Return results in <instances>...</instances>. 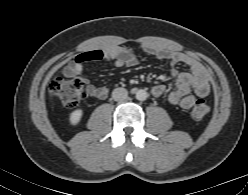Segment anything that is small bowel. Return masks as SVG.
I'll use <instances>...</instances> for the list:
<instances>
[{
    "label": "small bowel",
    "instance_id": "c3829d8e",
    "mask_svg": "<svg viewBox=\"0 0 248 195\" xmlns=\"http://www.w3.org/2000/svg\"><path fill=\"white\" fill-rule=\"evenodd\" d=\"M142 50L159 59L168 60L170 62L171 74L176 77V86L168 96V100L171 104L183 109H190L194 105L196 97L204 98L209 95L210 85L208 76L200 63L178 52L151 44L144 45ZM94 61L111 62L117 67L133 66L136 63V55L132 50L118 46L89 50L78 57L75 62L65 66L63 74L66 77L80 75L84 71L85 64ZM179 64L188 65L190 71L178 72L177 66ZM82 80L86 84L91 96L100 100L108 96V89L106 87L97 86L91 83L87 78H83ZM164 91L165 87L162 84H157L152 88V92L155 96H161Z\"/></svg>",
    "mask_w": 248,
    "mask_h": 195
}]
</instances>
